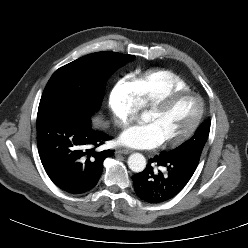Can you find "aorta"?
<instances>
[{
    "label": "aorta",
    "instance_id": "762f6f07",
    "mask_svg": "<svg viewBox=\"0 0 248 248\" xmlns=\"http://www.w3.org/2000/svg\"><path fill=\"white\" fill-rule=\"evenodd\" d=\"M128 166L133 172H142L146 167V159L140 153H133L128 158Z\"/></svg>",
    "mask_w": 248,
    "mask_h": 248
}]
</instances>
